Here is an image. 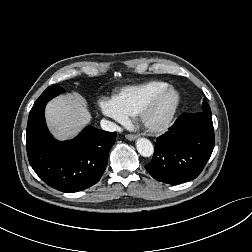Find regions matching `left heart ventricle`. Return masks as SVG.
<instances>
[{
  "label": "left heart ventricle",
  "mask_w": 252,
  "mask_h": 252,
  "mask_svg": "<svg viewBox=\"0 0 252 252\" xmlns=\"http://www.w3.org/2000/svg\"><path fill=\"white\" fill-rule=\"evenodd\" d=\"M173 100L174 98L172 94H165L151 111L149 119L153 122H158L164 119L173 105Z\"/></svg>",
  "instance_id": "1"
}]
</instances>
